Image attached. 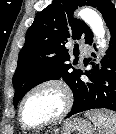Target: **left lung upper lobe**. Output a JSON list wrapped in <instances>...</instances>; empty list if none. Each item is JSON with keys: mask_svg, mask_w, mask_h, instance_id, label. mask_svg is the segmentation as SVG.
Wrapping results in <instances>:
<instances>
[{"mask_svg": "<svg viewBox=\"0 0 116 134\" xmlns=\"http://www.w3.org/2000/svg\"><path fill=\"white\" fill-rule=\"evenodd\" d=\"M84 5L97 8L103 18L115 7L111 0H53L36 15L27 30L12 80L15 108L30 89L48 80L62 78L73 91L82 71L70 64L65 44L81 38L85 39L86 44L93 40V33L85 22L73 20V12Z\"/></svg>", "mask_w": 116, "mask_h": 134, "instance_id": "left-lung-upper-lobe-1", "label": "left lung upper lobe"}]
</instances>
